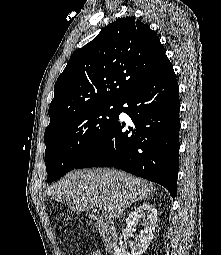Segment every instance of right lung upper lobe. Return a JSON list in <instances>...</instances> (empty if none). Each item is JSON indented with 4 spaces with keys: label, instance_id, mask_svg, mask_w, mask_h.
I'll use <instances>...</instances> for the list:
<instances>
[{
    "label": "right lung upper lobe",
    "instance_id": "right-lung-upper-lobe-1",
    "mask_svg": "<svg viewBox=\"0 0 221 255\" xmlns=\"http://www.w3.org/2000/svg\"><path fill=\"white\" fill-rule=\"evenodd\" d=\"M166 57L159 38L133 16L107 25L70 57L54 86L49 126L100 103H119Z\"/></svg>",
    "mask_w": 221,
    "mask_h": 255
}]
</instances>
